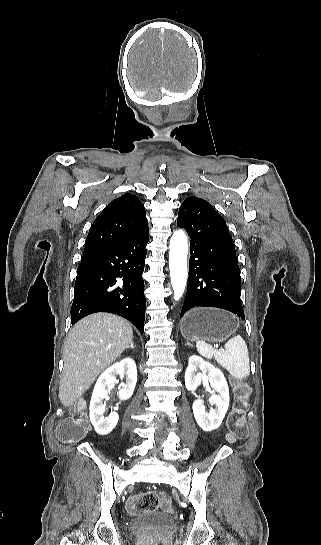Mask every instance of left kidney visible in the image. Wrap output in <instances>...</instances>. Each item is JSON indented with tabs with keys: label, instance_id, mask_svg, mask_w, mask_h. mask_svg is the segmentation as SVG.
<instances>
[{
	"label": "left kidney",
	"instance_id": "5707ae66",
	"mask_svg": "<svg viewBox=\"0 0 321 545\" xmlns=\"http://www.w3.org/2000/svg\"><path fill=\"white\" fill-rule=\"evenodd\" d=\"M201 371V373H197ZM202 377L208 379L210 387L213 391L219 393L215 395L212 393V397L209 399V403L215 405L216 409H211L209 413H206V407L202 399L194 401L193 413L194 417L203 431H214L220 427L229 407V389L227 381L220 369H215L214 365L203 361L201 357L192 355L189 359V365L185 373V387L187 391H195L202 383Z\"/></svg>",
	"mask_w": 321,
	"mask_h": 545
}]
</instances>
